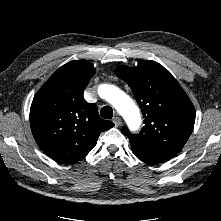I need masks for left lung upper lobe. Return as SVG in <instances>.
<instances>
[{
    "label": "left lung upper lobe",
    "instance_id": "5c2ea615",
    "mask_svg": "<svg viewBox=\"0 0 221 221\" xmlns=\"http://www.w3.org/2000/svg\"><path fill=\"white\" fill-rule=\"evenodd\" d=\"M115 74L130 85L143 117L144 127L122 133L155 153L174 157L187 142L195 123V109L176 79L159 63L141 61L136 67L120 66Z\"/></svg>",
    "mask_w": 221,
    "mask_h": 221
}]
</instances>
